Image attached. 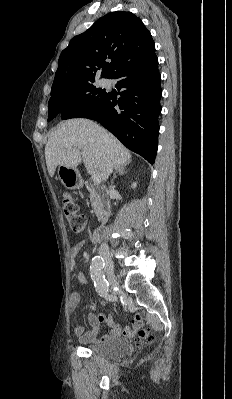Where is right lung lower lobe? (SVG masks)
Segmentation results:
<instances>
[{
  "label": "right lung lower lobe",
  "instance_id": "obj_1",
  "mask_svg": "<svg viewBox=\"0 0 232 399\" xmlns=\"http://www.w3.org/2000/svg\"><path fill=\"white\" fill-rule=\"evenodd\" d=\"M110 79L117 80L120 97L116 99V95L107 93L96 108L79 112L72 118H88L101 123L128 149L153 164L158 148L162 94L155 51L116 71ZM61 117L65 119L63 114Z\"/></svg>",
  "mask_w": 232,
  "mask_h": 399
}]
</instances>
